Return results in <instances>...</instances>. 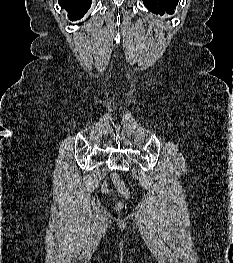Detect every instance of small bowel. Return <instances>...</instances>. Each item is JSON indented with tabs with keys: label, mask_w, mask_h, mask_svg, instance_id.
<instances>
[{
	"label": "small bowel",
	"mask_w": 233,
	"mask_h": 263,
	"mask_svg": "<svg viewBox=\"0 0 233 263\" xmlns=\"http://www.w3.org/2000/svg\"><path fill=\"white\" fill-rule=\"evenodd\" d=\"M102 190H103L104 192H108V191L110 190L109 187H108V184H107L106 182L103 184Z\"/></svg>",
	"instance_id": "c3829d8e"
}]
</instances>
